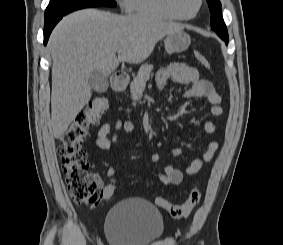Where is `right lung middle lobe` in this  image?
<instances>
[{
  "label": "right lung middle lobe",
  "mask_w": 283,
  "mask_h": 245,
  "mask_svg": "<svg viewBox=\"0 0 283 245\" xmlns=\"http://www.w3.org/2000/svg\"><path fill=\"white\" fill-rule=\"evenodd\" d=\"M115 7L114 0H50L45 10V21L88 7Z\"/></svg>",
  "instance_id": "1"
}]
</instances>
